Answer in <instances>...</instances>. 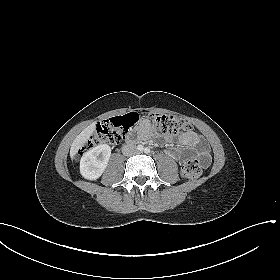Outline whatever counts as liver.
Returning a JSON list of instances; mask_svg holds the SVG:
<instances>
[{
	"label": "liver",
	"instance_id": "1",
	"mask_svg": "<svg viewBox=\"0 0 280 280\" xmlns=\"http://www.w3.org/2000/svg\"><path fill=\"white\" fill-rule=\"evenodd\" d=\"M95 131V123L90 124L88 127L82 130V132L74 139L71 149L70 156L73 159L77 151L86 143L90 136Z\"/></svg>",
	"mask_w": 280,
	"mask_h": 280
}]
</instances>
